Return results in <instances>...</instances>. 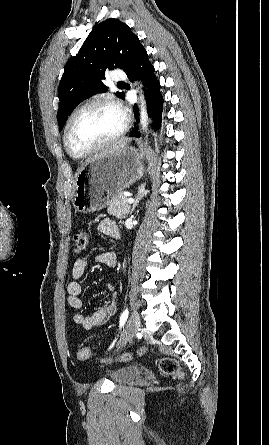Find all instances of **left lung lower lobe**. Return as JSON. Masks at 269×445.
<instances>
[{
    "instance_id": "1",
    "label": "left lung lower lobe",
    "mask_w": 269,
    "mask_h": 445,
    "mask_svg": "<svg viewBox=\"0 0 269 445\" xmlns=\"http://www.w3.org/2000/svg\"><path fill=\"white\" fill-rule=\"evenodd\" d=\"M154 72V66L148 60V55L145 50L141 55L139 61L133 66L131 70L126 72V74L129 80L132 82L137 79L143 82L148 114L154 120V127L159 128L161 124L164 99L160 92L159 80L157 79ZM134 109L138 119V107L135 105ZM140 135L141 134L139 132V128L135 125L129 136L138 138L140 137Z\"/></svg>"
}]
</instances>
